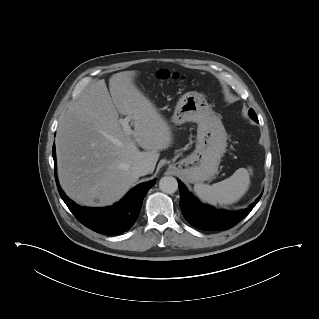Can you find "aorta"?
Returning <instances> with one entry per match:
<instances>
[{
	"mask_svg": "<svg viewBox=\"0 0 319 319\" xmlns=\"http://www.w3.org/2000/svg\"><path fill=\"white\" fill-rule=\"evenodd\" d=\"M159 189L166 194H173L178 189L177 180L172 176L162 177L159 181Z\"/></svg>",
	"mask_w": 319,
	"mask_h": 319,
	"instance_id": "1",
	"label": "aorta"
}]
</instances>
